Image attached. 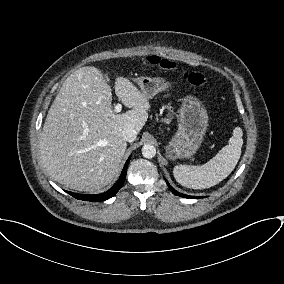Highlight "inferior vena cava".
<instances>
[{"mask_svg":"<svg viewBox=\"0 0 284 284\" xmlns=\"http://www.w3.org/2000/svg\"><path fill=\"white\" fill-rule=\"evenodd\" d=\"M122 137L127 142H133L137 137V131L131 127H125L122 131Z\"/></svg>","mask_w":284,"mask_h":284,"instance_id":"602c4592","label":"inferior vena cava"}]
</instances>
